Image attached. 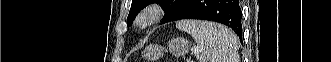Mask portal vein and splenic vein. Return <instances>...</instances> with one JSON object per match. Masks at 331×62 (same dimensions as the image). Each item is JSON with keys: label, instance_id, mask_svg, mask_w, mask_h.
<instances>
[{"label": "portal vein and splenic vein", "instance_id": "1", "mask_svg": "<svg viewBox=\"0 0 331 62\" xmlns=\"http://www.w3.org/2000/svg\"><path fill=\"white\" fill-rule=\"evenodd\" d=\"M200 51H201V49H197V50L194 52V54H199Z\"/></svg>", "mask_w": 331, "mask_h": 62}]
</instances>
